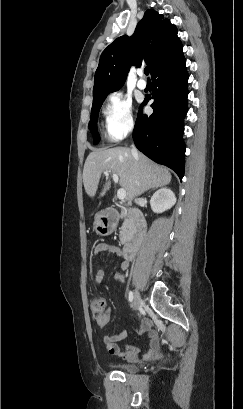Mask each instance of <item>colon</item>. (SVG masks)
<instances>
[{
  "label": "colon",
  "instance_id": "5ec220e1",
  "mask_svg": "<svg viewBox=\"0 0 243 409\" xmlns=\"http://www.w3.org/2000/svg\"><path fill=\"white\" fill-rule=\"evenodd\" d=\"M90 305H91V309L94 312L97 311V310L102 309L103 306H104V302H103L102 297H100V296L93 297L92 300H91Z\"/></svg>",
  "mask_w": 243,
  "mask_h": 409
}]
</instances>
